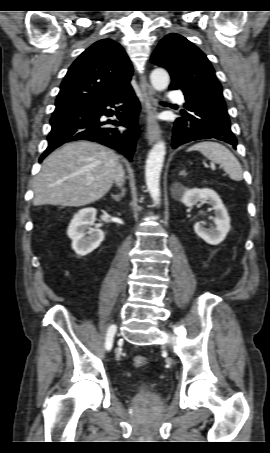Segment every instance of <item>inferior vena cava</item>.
<instances>
[{
	"mask_svg": "<svg viewBox=\"0 0 270 453\" xmlns=\"http://www.w3.org/2000/svg\"><path fill=\"white\" fill-rule=\"evenodd\" d=\"M124 181V171L121 165H118L115 171V182L117 185H121V182Z\"/></svg>",
	"mask_w": 270,
	"mask_h": 453,
	"instance_id": "1",
	"label": "inferior vena cava"
}]
</instances>
